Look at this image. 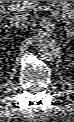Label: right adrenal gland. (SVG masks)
<instances>
[{
	"instance_id": "2a0ac1e0",
	"label": "right adrenal gland",
	"mask_w": 74,
	"mask_h": 122,
	"mask_svg": "<svg viewBox=\"0 0 74 122\" xmlns=\"http://www.w3.org/2000/svg\"><path fill=\"white\" fill-rule=\"evenodd\" d=\"M7 28H8V29H11V27H10V26H8Z\"/></svg>"
}]
</instances>
